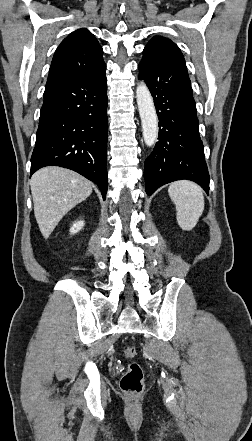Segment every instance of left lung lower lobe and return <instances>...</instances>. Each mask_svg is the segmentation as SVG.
I'll return each mask as SVG.
<instances>
[{"mask_svg": "<svg viewBox=\"0 0 252 441\" xmlns=\"http://www.w3.org/2000/svg\"><path fill=\"white\" fill-rule=\"evenodd\" d=\"M139 79L149 88L159 119V141L145 161L146 193L188 179L207 193L209 173L199 136L196 104L184 57L173 42L143 51Z\"/></svg>", "mask_w": 252, "mask_h": 441, "instance_id": "1", "label": "left lung lower lobe"}]
</instances>
